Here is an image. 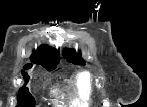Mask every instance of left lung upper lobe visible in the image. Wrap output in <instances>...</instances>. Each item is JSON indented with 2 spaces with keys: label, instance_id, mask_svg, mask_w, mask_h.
I'll return each instance as SVG.
<instances>
[{
  "label": "left lung upper lobe",
  "instance_id": "obj_1",
  "mask_svg": "<svg viewBox=\"0 0 147 107\" xmlns=\"http://www.w3.org/2000/svg\"><path fill=\"white\" fill-rule=\"evenodd\" d=\"M64 58L67 59V61L72 62L74 64L78 65H84L85 60L81 57L80 54L76 55V52L74 50H65L63 51Z\"/></svg>",
  "mask_w": 147,
  "mask_h": 107
}]
</instances>
